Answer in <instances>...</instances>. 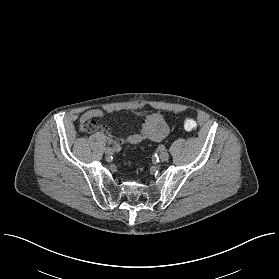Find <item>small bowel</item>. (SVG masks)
<instances>
[{"instance_id": "obj_1", "label": "small bowel", "mask_w": 279, "mask_h": 279, "mask_svg": "<svg viewBox=\"0 0 279 279\" xmlns=\"http://www.w3.org/2000/svg\"><path fill=\"white\" fill-rule=\"evenodd\" d=\"M112 111L111 109L107 110ZM105 111L102 109H90L87 110L80 119L81 126L89 123L93 131L97 129V125L91 121L94 118H101L105 116ZM102 133L107 140L113 145L122 144H138L143 140L160 141L164 139L168 133L169 128L166 122V118L161 113H152L147 115L141 122L140 132L133 133L126 136H115L110 128L106 125L100 127Z\"/></svg>"}]
</instances>
